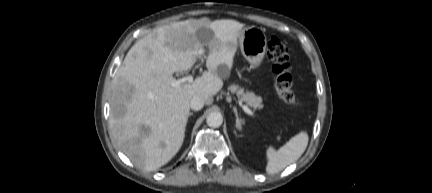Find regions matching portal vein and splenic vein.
<instances>
[{
    "label": "portal vein and splenic vein",
    "mask_w": 432,
    "mask_h": 193,
    "mask_svg": "<svg viewBox=\"0 0 432 193\" xmlns=\"http://www.w3.org/2000/svg\"><path fill=\"white\" fill-rule=\"evenodd\" d=\"M198 53H199V55H200V57H201V59H202V56H203V54H204V49H200L199 51H198ZM170 85L172 86V87H175V88H179L180 86H181V84L182 83H184V82H189V83H191V82H193V76L192 75H189V76H187V77H185L184 79H179V80H176V79H174V78H172V79H170ZM242 109L248 114V115H253V112H252V110L250 109V108H248L246 105H243L242 106Z\"/></svg>",
    "instance_id": "portal-vein-and-splenic-vein-1"
}]
</instances>
